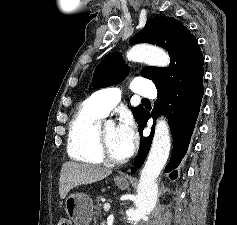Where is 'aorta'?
<instances>
[{
  "label": "aorta",
  "instance_id": "762f6f07",
  "mask_svg": "<svg viewBox=\"0 0 237 225\" xmlns=\"http://www.w3.org/2000/svg\"><path fill=\"white\" fill-rule=\"evenodd\" d=\"M127 58L133 62H145L160 67L170 63V58L165 51L150 45L132 47L127 53ZM170 147L169 126L164 119H159L147 161L140 175L137 195L134 199L135 208L127 211L131 223L140 221L153 209L158 194L156 179L167 163Z\"/></svg>",
  "mask_w": 237,
  "mask_h": 225
}]
</instances>
